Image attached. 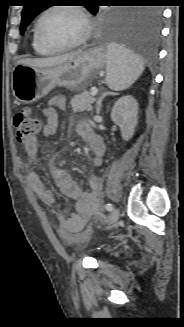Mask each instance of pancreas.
Returning a JSON list of instances; mask_svg holds the SVG:
<instances>
[{
  "instance_id": "pancreas-1",
  "label": "pancreas",
  "mask_w": 184,
  "mask_h": 327,
  "mask_svg": "<svg viewBox=\"0 0 184 327\" xmlns=\"http://www.w3.org/2000/svg\"><path fill=\"white\" fill-rule=\"evenodd\" d=\"M95 99L91 95V91H84L78 95H75L74 98L71 100L70 104L72 107V111L81 112V111H91L92 104L94 103Z\"/></svg>"
}]
</instances>
